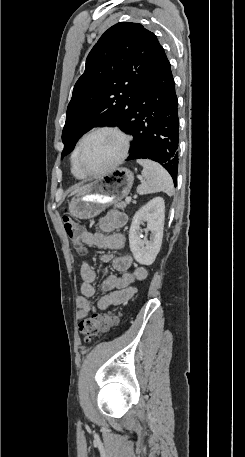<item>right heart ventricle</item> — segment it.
<instances>
[{
	"label": "right heart ventricle",
	"mask_w": 245,
	"mask_h": 457,
	"mask_svg": "<svg viewBox=\"0 0 245 457\" xmlns=\"http://www.w3.org/2000/svg\"><path fill=\"white\" fill-rule=\"evenodd\" d=\"M80 142H79V144H80ZM79 144H78V146H79ZM76 151H77V149L74 151V153L72 155V173L77 179H84L85 175L79 169L77 162H76Z\"/></svg>",
	"instance_id": "right-heart-ventricle-1"
}]
</instances>
